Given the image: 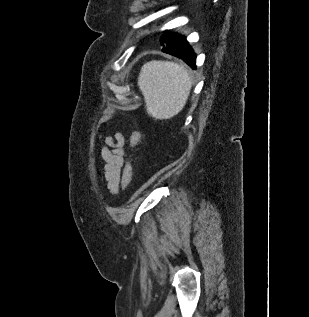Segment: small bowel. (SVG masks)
Here are the masks:
<instances>
[{
	"label": "small bowel",
	"mask_w": 309,
	"mask_h": 317,
	"mask_svg": "<svg viewBox=\"0 0 309 317\" xmlns=\"http://www.w3.org/2000/svg\"><path fill=\"white\" fill-rule=\"evenodd\" d=\"M103 179L110 193L116 194L122 182V168L125 162L126 139L120 132L104 138L101 148Z\"/></svg>",
	"instance_id": "1"
}]
</instances>
